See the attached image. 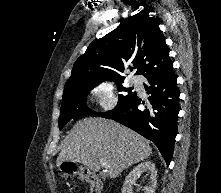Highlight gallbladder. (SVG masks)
I'll list each match as a JSON object with an SVG mask.
<instances>
[{"label": "gallbladder", "instance_id": "bac80fb5", "mask_svg": "<svg viewBox=\"0 0 221 193\" xmlns=\"http://www.w3.org/2000/svg\"><path fill=\"white\" fill-rule=\"evenodd\" d=\"M100 176H101L102 178H104L106 175H105V174H100Z\"/></svg>", "mask_w": 221, "mask_h": 193}]
</instances>
